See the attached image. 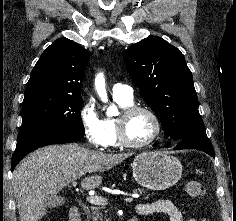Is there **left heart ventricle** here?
<instances>
[{
	"mask_svg": "<svg viewBox=\"0 0 236 221\" xmlns=\"http://www.w3.org/2000/svg\"><path fill=\"white\" fill-rule=\"evenodd\" d=\"M155 132L153 119L144 112H138L129 118L126 126V134L129 140L142 143L149 140Z\"/></svg>",
	"mask_w": 236,
	"mask_h": 221,
	"instance_id": "1",
	"label": "left heart ventricle"
}]
</instances>
